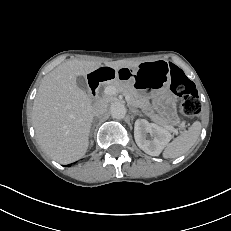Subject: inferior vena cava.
I'll list each match as a JSON object with an SVG mask.
<instances>
[{"label": "inferior vena cava", "mask_w": 231, "mask_h": 231, "mask_svg": "<svg viewBox=\"0 0 231 231\" xmlns=\"http://www.w3.org/2000/svg\"><path fill=\"white\" fill-rule=\"evenodd\" d=\"M106 111H107V104L104 101L99 100L94 103L93 105V115L94 116H101Z\"/></svg>", "instance_id": "obj_1"}]
</instances>
